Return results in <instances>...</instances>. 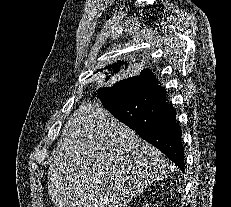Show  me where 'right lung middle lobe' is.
<instances>
[{
	"instance_id": "right-lung-middle-lobe-1",
	"label": "right lung middle lobe",
	"mask_w": 231,
	"mask_h": 207,
	"mask_svg": "<svg viewBox=\"0 0 231 207\" xmlns=\"http://www.w3.org/2000/svg\"><path fill=\"white\" fill-rule=\"evenodd\" d=\"M124 82H125V80H122L111 87L101 88L98 90V95L100 97H103L107 92H112L113 90L117 89Z\"/></svg>"
}]
</instances>
